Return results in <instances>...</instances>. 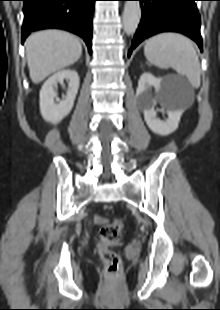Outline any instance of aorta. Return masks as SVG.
Instances as JSON below:
<instances>
[{
	"mask_svg": "<svg viewBox=\"0 0 220 310\" xmlns=\"http://www.w3.org/2000/svg\"><path fill=\"white\" fill-rule=\"evenodd\" d=\"M140 18L141 8L139 1H126L123 11V29L127 35L134 34Z\"/></svg>",
	"mask_w": 220,
	"mask_h": 310,
	"instance_id": "1",
	"label": "aorta"
}]
</instances>
